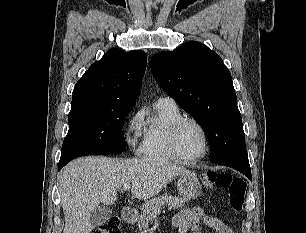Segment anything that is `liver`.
<instances>
[{
    "label": "liver",
    "mask_w": 306,
    "mask_h": 233,
    "mask_svg": "<svg viewBox=\"0 0 306 233\" xmlns=\"http://www.w3.org/2000/svg\"><path fill=\"white\" fill-rule=\"evenodd\" d=\"M183 173L189 171L161 158L112 159L87 156L75 159L58 175L65 218L63 233H90L94 229L92 210L100 203L113 205L121 186L130 184L134 197L149 199Z\"/></svg>",
    "instance_id": "obj_1"
}]
</instances>
